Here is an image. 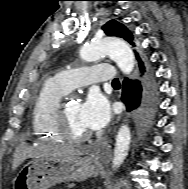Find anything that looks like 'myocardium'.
<instances>
[{
    "mask_svg": "<svg viewBox=\"0 0 188 189\" xmlns=\"http://www.w3.org/2000/svg\"><path fill=\"white\" fill-rule=\"evenodd\" d=\"M55 120H56L57 129L61 137L68 142H72V143L83 142L88 140L91 136L90 132H85L82 134H73L70 131L66 104L64 102L60 104Z\"/></svg>",
    "mask_w": 188,
    "mask_h": 189,
    "instance_id": "obj_1",
    "label": "myocardium"
}]
</instances>
